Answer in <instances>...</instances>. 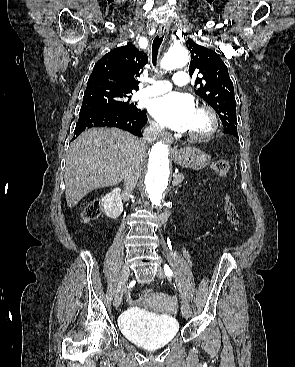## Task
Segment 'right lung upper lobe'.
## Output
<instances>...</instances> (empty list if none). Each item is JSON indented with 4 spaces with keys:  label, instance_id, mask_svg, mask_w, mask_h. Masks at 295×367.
<instances>
[{
    "label": "right lung upper lobe",
    "instance_id": "1",
    "mask_svg": "<svg viewBox=\"0 0 295 367\" xmlns=\"http://www.w3.org/2000/svg\"><path fill=\"white\" fill-rule=\"evenodd\" d=\"M148 57L132 43L107 53L94 66L87 88H105L120 94H129L139 89L135 76L147 64Z\"/></svg>",
    "mask_w": 295,
    "mask_h": 367
}]
</instances>
